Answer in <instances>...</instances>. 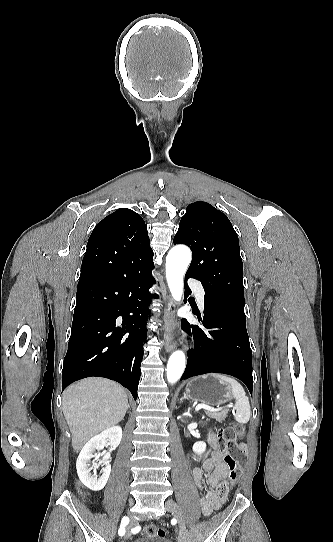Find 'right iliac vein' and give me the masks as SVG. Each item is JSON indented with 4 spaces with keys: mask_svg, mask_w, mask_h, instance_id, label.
<instances>
[{
    "mask_svg": "<svg viewBox=\"0 0 333 542\" xmlns=\"http://www.w3.org/2000/svg\"><path fill=\"white\" fill-rule=\"evenodd\" d=\"M128 515L130 516V513H128ZM130 528H131V526H129V528H128V533L126 534V538L130 537V533H129Z\"/></svg>",
    "mask_w": 333,
    "mask_h": 542,
    "instance_id": "1",
    "label": "right iliac vein"
}]
</instances>
